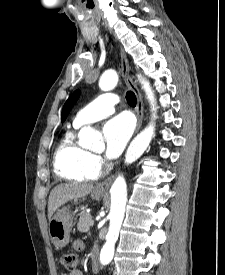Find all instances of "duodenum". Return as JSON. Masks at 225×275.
Segmentation results:
<instances>
[{
	"instance_id": "duodenum-1",
	"label": "duodenum",
	"mask_w": 225,
	"mask_h": 275,
	"mask_svg": "<svg viewBox=\"0 0 225 275\" xmlns=\"http://www.w3.org/2000/svg\"><path fill=\"white\" fill-rule=\"evenodd\" d=\"M91 267H92V270L94 272H96L98 270V264H97V260H96V253L92 254Z\"/></svg>"
}]
</instances>
